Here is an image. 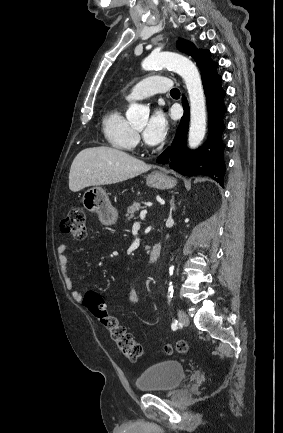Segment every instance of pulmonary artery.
I'll return each instance as SVG.
<instances>
[{"mask_svg":"<svg viewBox=\"0 0 283 433\" xmlns=\"http://www.w3.org/2000/svg\"><path fill=\"white\" fill-rule=\"evenodd\" d=\"M172 88L171 80L164 78L162 72H155L152 77L136 83L126 94V99L128 101L142 99L158 92H170Z\"/></svg>","mask_w":283,"mask_h":433,"instance_id":"obj_1","label":"pulmonary artery"}]
</instances>
